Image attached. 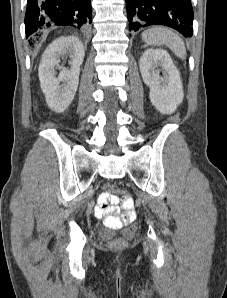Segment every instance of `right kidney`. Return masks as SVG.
<instances>
[{
    "label": "right kidney",
    "instance_id": "obj_1",
    "mask_svg": "<svg viewBox=\"0 0 227 298\" xmlns=\"http://www.w3.org/2000/svg\"><path fill=\"white\" fill-rule=\"evenodd\" d=\"M83 43L75 36L54 40L42 55L38 74L40 85L48 106L55 112L65 111L78 88L80 65L84 60ZM71 58L70 69L60 67V59ZM60 70L56 77V69ZM61 82L63 84L61 85Z\"/></svg>",
    "mask_w": 227,
    "mask_h": 298
}]
</instances>
